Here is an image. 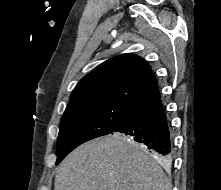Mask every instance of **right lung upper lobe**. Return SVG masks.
<instances>
[{"label":"right lung upper lobe","mask_w":221,"mask_h":190,"mask_svg":"<svg viewBox=\"0 0 221 190\" xmlns=\"http://www.w3.org/2000/svg\"><path fill=\"white\" fill-rule=\"evenodd\" d=\"M159 93L150 66L134 54H122L97 66L74 88L67 107L116 102L135 108Z\"/></svg>","instance_id":"cb5924a9"}]
</instances>
